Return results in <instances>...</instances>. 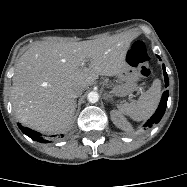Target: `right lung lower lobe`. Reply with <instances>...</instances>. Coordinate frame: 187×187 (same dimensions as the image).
Wrapping results in <instances>:
<instances>
[{"mask_svg": "<svg viewBox=\"0 0 187 187\" xmlns=\"http://www.w3.org/2000/svg\"><path fill=\"white\" fill-rule=\"evenodd\" d=\"M18 126H19L20 130H21L24 134H26L28 137H30L32 140L38 141V142H41V143H48V142H49V141H47V140H44V139L42 138V135L39 134L38 132L33 131V130L27 128V127H23V126L20 125V124H18Z\"/></svg>", "mask_w": 187, "mask_h": 187, "instance_id": "1", "label": "right lung lower lobe"}]
</instances>
